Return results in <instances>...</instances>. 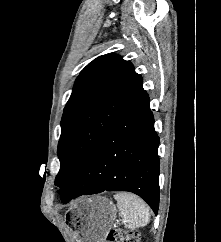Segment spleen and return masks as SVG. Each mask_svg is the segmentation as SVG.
<instances>
[{
  "mask_svg": "<svg viewBox=\"0 0 221 242\" xmlns=\"http://www.w3.org/2000/svg\"><path fill=\"white\" fill-rule=\"evenodd\" d=\"M114 199L128 229L145 227L149 223V208L141 198L131 193L121 192L115 194Z\"/></svg>",
  "mask_w": 221,
  "mask_h": 242,
  "instance_id": "obj_1",
  "label": "spleen"
}]
</instances>
